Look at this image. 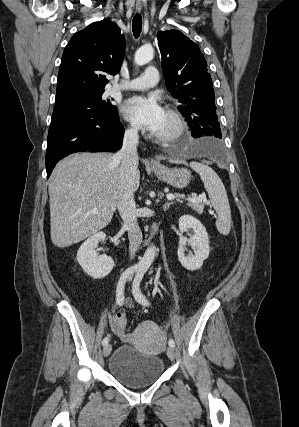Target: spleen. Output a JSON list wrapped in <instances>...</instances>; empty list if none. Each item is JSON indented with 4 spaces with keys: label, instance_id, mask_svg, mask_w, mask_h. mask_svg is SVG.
I'll list each match as a JSON object with an SVG mask.
<instances>
[{
    "label": "spleen",
    "instance_id": "3e777b00",
    "mask_svg": "<svg viewBox=\"0 0 299 427\" xmlns=\"http://www.w3.org/2000/svg\"><path fill=\"white\" fill-rule=\"evenodd\" d=\"M190 166L200 175L211 204L218 214L217 230L222 235H228L231 229V210L223 182L217 173L206 164L191 162Z\"/></svg>",
    "mask_w": 299,
    "mask_h": 427
}]
</instances>
